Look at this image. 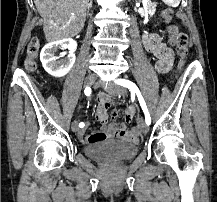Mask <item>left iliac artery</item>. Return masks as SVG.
<instances>
[{
	"instance_id": "44dca946",
	"label": "left iliac artery",
	"mask_w": 217,
	"mask_h": 202,
	"mask_svg": "<svg viewBox=\"0 0 217 202\" xmlns=\"http://www.w3.org/2000/svg\"><path fill=\"white\" fill-rule=\"evenodd\" d=\"M117 84L123 86V87H126L128 88L131 92H134L137 94V97H138V100H139V103L141 105V108L145 114V121H146V124L147 125H150L151 124V117H150V114L148 112V109H147V106H146V103L144 101V98L142 97L141 95V92L140 90L138 89V87L136 86L135 83H133L132 81H129V80H126V79H118L116 81Z\"/></svg>"
}]
</instances>
